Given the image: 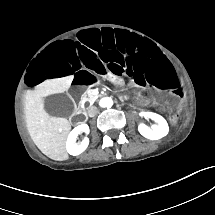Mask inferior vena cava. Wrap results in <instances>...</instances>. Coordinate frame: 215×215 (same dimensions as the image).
Returning a JSON list of instances; mask_svg holds the SVG:
<instances>
[{"instance_id":"inferior-vena-cava-1","label":"inferior vena cava","mask_w":215,"mask_h":215,"mask_svg":"<svg viewBox=\"0 0 215 215\" xmlns=\"http://www.w3.org/2000/svg\"><path fill=\"white\" fill-rule=\"evenodd\" d=\"M87 113L90 117H94L98 113V108L96 106H90L87 109Z\"/></svg>"}]
</instances>
